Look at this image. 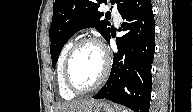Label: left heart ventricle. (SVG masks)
I'll use <instances>...</instances> for the list:
<instances>
[{"label":"left heart ventricle","instance_id":"left-heart-ventricle-1","mask_svg":"<svg viewBox=\"0 0 193 112\" xmlns=\"http://www.w3.org/2000/svg\"><path fill=\"white\" fill-rule=\"evenodd\" d=\"M103 69V56L94 44L82 46L74 54L70 64V77L79 89L92 86Z\"/></svg>","mask_w":193,"mask_h":112}]
</instances>
